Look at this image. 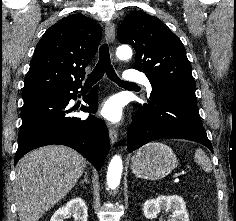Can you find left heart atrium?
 I'll use <instances>...</instances> for the list:
<instances>
[{"instance_id":"obj_1","label":"left heart atrium","mask_w":236,"mask_h":221,"mask_svg":"<svg viewBox=\"0 0 236 221\" xmlns=\"http://www.w3.org/2000/svg\"><path fill=\"white\" fill-rule=\"evenodd\" d=\"M99 115L112 123H119L123 119V107L117 98L105 101L99 110Z\"/></svg>"}]
</instances>
